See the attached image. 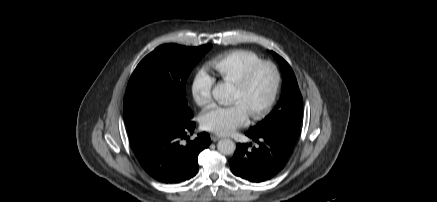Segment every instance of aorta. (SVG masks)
I'll return each mask as SVG.
<instances>
[{"label":"aorta","mask_w":437,"mask_h":202,"mask_svg":"<svg viewBox=\"0 0 437 202\" xmlns=\"http://www.w3.org/2000/svg\"><path fill=\"white\" fill-rule=\"evenodd\" d=\"M234 88L228 83H218L212 90V95L215 100L222 104L230 103L233 100ZM236 148L235 143L230 139H222L217 144V149L224 155H231Z\"/></svg>","instance_id":"1"}]
</instances>
